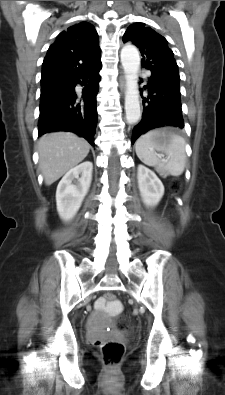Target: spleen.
Wrapping results in <instances>:
<instances>
[{
  "label": "spleen",
  "mask_w": 225,
  "mask_h": 395,
  "mask_svg": "<svg viewBox=\"0 0 225 395\" xmlns=\"http://www.w3.org/2000/svg\"><path fill=\"white\" fill-rule=\"evenodd\" d=\"M158 131H150L142 135L135 144L138 158L146 165L156 167L163 173L179 176L183 173L186 163L185 140L181 136L167 132V142L156 140ZM156 151L166 155V162L159 160Z\"/></svg>",
  "instance_id": "1"
}]
</instances>
